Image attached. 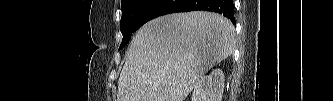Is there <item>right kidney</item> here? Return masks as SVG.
I'll list each match as a JSON object with an SVG mask.
<instances>
[{
    "label": "right kidney",
    "mask_w": 333,
    "mask_h": 101,
    "mask_svg": "<svg viewBox=\"0 0 333 101\" xmlns=\"http://www.w3.org/2000/svg\"><path fill=\"white\" fill-rule=\"evenodd\" d=\"M225 76L220 69L201 77L194 86L192 101H221L224 91Z\"/></svg>",
    "instance_id": "obj_1"
}]
</instances>
